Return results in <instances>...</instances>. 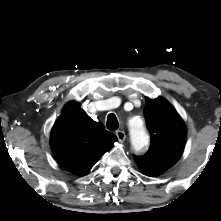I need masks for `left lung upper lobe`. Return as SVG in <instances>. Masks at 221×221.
Wrapping results in <instances>:
<instances>
[{
  "instance_id": "1",
  "label": "left lung upper lobe",
  "mask_w": 221,
  "mask_h": 221,
  "mask_svg": "<svg viewBox=\"0 0 221 221\" xmlns=\"http://www.w3.org/2000/svg\"><path fill=\"white\" fill-rule=\"evenodd\" d=\"M144 116L151 145L144 156H134V160L145 174L156 176L174 165L182 155L186 127L177 112L161 97L146 99Z\"/></svg>"
}]
</instances>
